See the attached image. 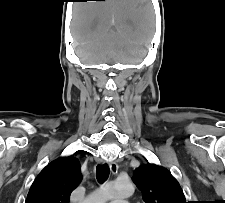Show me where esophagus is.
I'll use <instances>...</instances> for the list:
<instances>
[{"label": "esophagus", "mask_w": 225, "mask_h": 203, "mask_svg": "<svg viewBox=\"0 0 225 203\" xmlns=\"http://www.w3.org/2000/svg\"><path fill=\"white\" fill-rule=\"evenodd\" d=\"M109 166H110V170L113 174H116L117 171H118V165L116 162H110L109 163Z\"/></svg>", "instance_id": "34e87169"}]
</instances>
